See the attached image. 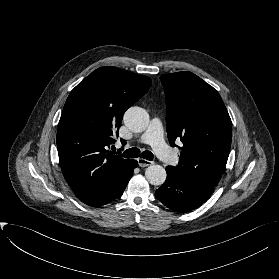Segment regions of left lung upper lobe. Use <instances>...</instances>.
Wrapping results in <instances>:
<instances>
[{
  "instance_id": "1",
  "label": "left lung upper lobe",
  "mask_w": 279,
  "mask_h": 279,
  "mask_svg": "<svg viewBox=\"0 0 279 279\" xmlns=\"http://www.w3.org/2000/svg\"><path fill=\"white\" fill-rule=\"evenodd\" d=\"M166 96L170 144L183 143L179 164L183 178L214 189L229 156L232 122L219 93L197 75L184 71L161 77Z\"/></svg>"
}]
</instances>
